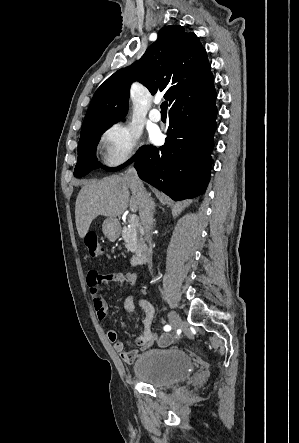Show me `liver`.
I'll return each mask as SVG.
<instances>
[{
  "label": "liver",
  "instance_id": "6515ba94",
  "mask_svg": "<svg viewBox=\"0 0 299 443\" xmlns=\"http://www.w3.org/2000/svg\"><path fill=\"white\" fill-rule=\"evenodd\" d=\"M130 190V181L121 175L85 182L75 204L79 237L86 236L92 221L100 215L112 219L120 216L127 208L136 212L139 201L133 192L130 196Z\"/></svg>",
  "mask_w": 299,
  "mask_h": 443
}]
</instances>
